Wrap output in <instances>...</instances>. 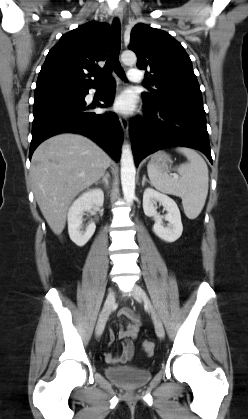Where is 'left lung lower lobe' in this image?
Masks as SVG:
<instances>
[{
  "label": "left lung lower lobe",
  "instance_id": "0a47b994",
  "mask_svg": "<svg viewBox=\"0 0 248 419\" xmlns=\"http://www.w3.org/2000/svg\"><path fill=\"white\" fill-rule=\"evenodd\" d=\"M144 106L146 118H134L129 125L136 166L147 155L171 146L200 150L212 163L202 101L167 100Z\"/></svg>",
  "mask_w": 248,
  "mask_h": 419
}]
</instances>
